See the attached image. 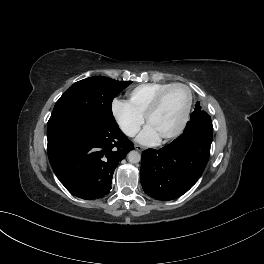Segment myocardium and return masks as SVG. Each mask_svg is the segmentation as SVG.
<instances>
[{"label":"myocardium","mask_w":264,"mask_h":264,"mask_svg":"<svg viewBox=\"0 0 264 264\" xmlns=\"http://www.w3.org/2000/svg\"><path fill=\"white\" fill-rule=\"evenodd\" d=\"M175 87H180V88L185 89V91L187 92V102H186L182 117L178 125L171 132L161 136L162 140H168V139H172L176 137L185 128L187 121L189 119V114H190L191 105H192V93H191L190 88L183 83L169 84L168 86H166L165 88H163L161 91L157 93V95L154 97V99L152 100V102L150 103V105L148 106L144 114L145 122L148 123L152 114L156 112V110L159 108L166 93Z\"/></svg>","instance_id":"obj_1"}]
</instances>
